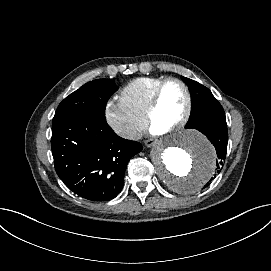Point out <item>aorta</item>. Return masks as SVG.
Masks as SVG:
<instances>
[{
	"mask_svg": "<svg viewBox=\"0 0 271 271\" xmlns=\"http://www.w3.org/2000/svg\"><path fill=\"white\" fill-rule=\"evenodd\" d=\"M151 160L167 187L182 195L200 191L214 174L216 152L210 141L196 130H182L159 140Z\"/></svg>",
	"mask_w": 271,
	"mask_h": 271,
	"instance_id": "obj_1",
	"label": "aorta"
}]
</instances>
